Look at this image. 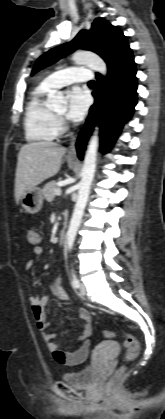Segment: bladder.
Here are the masks:
<instances>
[{
    "mask_svg": "<svg viewBox=\"0 0 165 419\" xmlns=\"http://www.w3.org/2000/svg\"><path fill=\"white\" fill-rule=\"evenodd\" d=\"M62 380L73 388L90 389L97 384L99 375L94 365H88L63 373Z\"/></svg>",
    "mask_w": 165,
    "mask_h": 419,
    "instance_id": "bladder-1",
    "label": "bladder"
}]
</instances>
